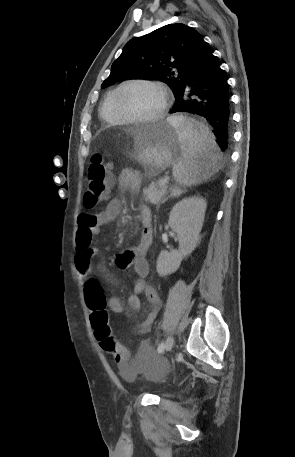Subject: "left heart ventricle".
<instances>
[{
	"mask_svg": "<svg viewBox=\"0 0 295 457\" xmlns=\"http://www.w3.org/2000/svg\"><path fill=\"white\" fill-rule=\"evenodd\" d=\"M161 90L154 86L137 85L126 89L121 97L122 108L135 117H149L158 113L163 105Z\"/></svg>",
	"mask_w": 295,
	"mask_h": 457,
	"instance_id": "obj_1",
	"label": "left heart ventricle"
}]
</instances>
